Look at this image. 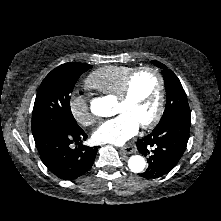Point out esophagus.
Returning a JSON list of instances; mask_svg holds the SVG:
<instances>
[{"instance_id": "obj_1", "label": "esophagus", "mask_w": 221, "mask_h": 221, "mask_svg": "<svg viewBox=\"0 0 221 221\" xmlns=\"http://www.w3.org/2000/svg\"><path fill=\"white\" fill-rule=\"evenodd\" d=\"M121 150L129 154L136 153V148L133 145L124 146Z\"/></svg>"}]
</instances>
